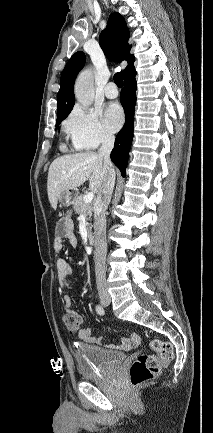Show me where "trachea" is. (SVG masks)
Instances as JSON below:
<instances>
[{
	"mask_svg": "<svg viewBox=\"0 0 213 433\" xmlns=\"http://www.w3.org/2000/svg\"><path fill=\"white\" fill-rule=\"evenodd\" d=\"M114 82L118 87H122L123 86V75L122 72H117L114 75Z\"/></svg>",
	"mask_w": 213,
	"mask_h": 433,
	"instance_id": "1",
	"label": "trachea"
}]
</instances>
